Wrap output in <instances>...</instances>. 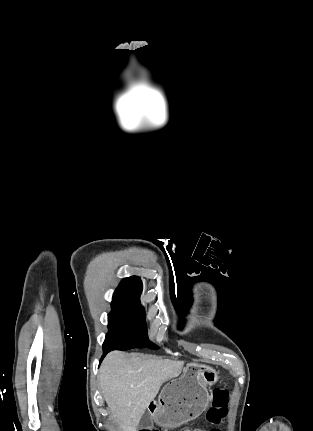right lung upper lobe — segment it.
<instances>
[{"mask_svg": "<svg viewBox=\"0 0 313 431\" xmlns=\"http://www.w3.org/2000/svg\"><path fill=\"white\" fill-rule=\"evenodd\" d=\"M143 289L139 277L131 276L123 279L114 293L113 299L140 303V295Z\"/></svg>", "mask_w": 313, "mask_h": 431, "instance_id": "cb5924a9", "label": "right lung upper lobe"}]
</instances>
